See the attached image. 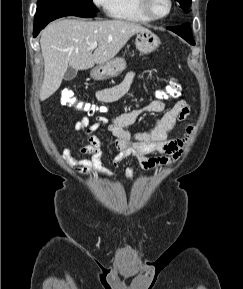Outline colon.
Here are the masks:
<instances>
[{
	"label": "colon",
	"instance_id": "5ec220e1",
	"mask_svg": "<svg viewBox=\"0 0 243 289\" xmlns=\"http://www.w3.org/2000/svg\"><path fill=\"white\" fill-rule=\"evenodd\" d=\"M181 94V86L179 82L172 79L168 84L157 92V96L160 100H173L177 99ZM60 103L64 106L74 107L78 111H82L88 115H93L99 109L90 102L79 100L75 93L71 89H63L60 95Z\"/></svg>",
	"mask_w": 243,
	"mask_h": 289
}]
</instances>
